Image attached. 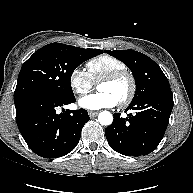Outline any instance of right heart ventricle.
I'll return each mask as SVG.
<instances>
[{"label":"right heart ventricle","mask_w":193,"mask_h":193,"mask_svg":"<svg viewBox=\"0 0 193 193\" xmlns=\"http://www.w3.org/2000/svg\"><path fill=\"white\" fill-rule=\"evenodd\" d=\"M86 66L87 72L94 83H98L103 77L112 72L127 68L122 60L107 54L92 58Z\"/></svg>","instance_id":"e07e8e85"}]
</instances>
